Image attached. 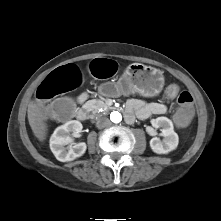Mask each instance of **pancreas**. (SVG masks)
<instances>
[{"mask_svg":"<svg viewBox=\"0 0 221 221\" xmlns=\"http://www.w3.org/2000/svg\"><path fill=\"white\" fill-rule=\"evenodd\" d=\"M85 108L88 109V111H92L93 113H97L99 111V109H105L107 108V105L105 104L104 101L99 100V99H93V100H89L86 104H85Z\"/></svg>","mask_w":221,"mask_h":221,"instance_id":"1","label":"pancreas"}]
</instances>
